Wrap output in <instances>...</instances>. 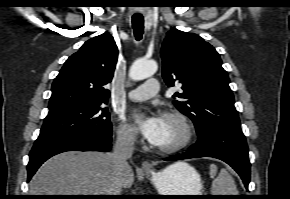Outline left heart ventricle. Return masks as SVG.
I'll return each instance as SVG.
<instances>
[{"label":"left heart ventricle","mask_w":290,"mask_h":199,"mask_svg":"<svg viewBox=\"0 0 290 199\" xmlns=\"http://www.w3.org/2000/svg\"><path fill=\"white\" fill-rule=\"evenodd\" d=\"M183 128L174 119L163 116L162 128L156 146L170 147L182 140Z\"/></svg>","instance_id":"b2bd125f"}]
</instances>
